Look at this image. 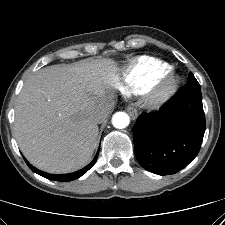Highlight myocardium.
Instances as JSON below:
<instances>
[{
	"mask_svg": "<svg viewBox=\"0 0 225 225\" xmlns=\"http://www.w3.org/2000/svg\"><path fill=\"white\" fill-rule=\"evenodd\" d=\"M176 91V81L172 76H162L152 85V89L146 96V104L149 107H158L167 102Z\"/></svg>",
	"mask_w": 225,
	"mask_h": 225,
	"instance_id": "myocardium-1",
	"label": "myocardium"
}]
</instances>
